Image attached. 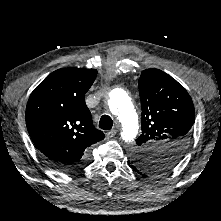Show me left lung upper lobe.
I'll list each match as a JSON object with an SVG mask.
<instances>
[{"label":"left lung upper lobe","mask_w":221,"mask_h":221,"mask_svg":"<svg viewBox=\"0 0 221 221\" xmlns=\"http://www.w3.org/2000/svg\"><path fill=\"white\" fill-rule=\"evenodd\" d=\"M138 86L142 134L136 139L134 162L162 174L178 164L189 146L194 105L185 88L161 70L142 71Z\"/></svg>","instance_id":"1"}]
</instances>
